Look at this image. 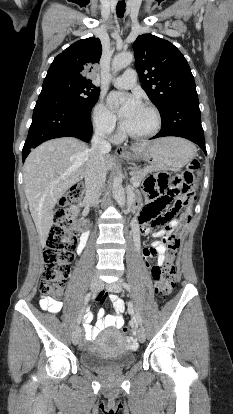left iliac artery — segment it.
Segmentation results:
<instances>
[{
  "label": "left iliac artery",
  "mask_w": 233,
  "mask_h": 414,
  "mask_svg": "<svg viewBox=\"0 0 233 414\" xmlns=\"http://www.w3.org/2000/svg\"><path fill=\"white\" fill-rule=\"evenodd\" d=\"M122 285L127 291L130 292V285L129 284H127L126 282H123ZM136 317H137L138 323L142 326V319H141V316L138 312H136Z\"/></svg>",
  "instance_id": "44dca946"
}]
</instances>
